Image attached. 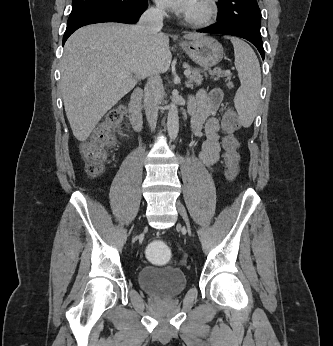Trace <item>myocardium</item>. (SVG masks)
<instances>
[{"label": "myocardium", "mask_w": 333, "mask_h": 346, "mask_svg": "<svg viewBox=\"0 0 333 346\" xmlns=\"http://www.w3.org/2000/svg\"><path fill=\"white\" fill-rule=\"evenodd\" d=\"M199 8L195 11L185 13V20L196 26H209L213 24L218 16L217 0H197Z\"/></svg>", "instance_id": "1"}]
</instances>
